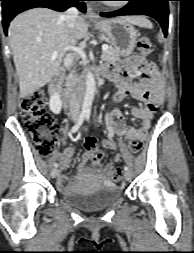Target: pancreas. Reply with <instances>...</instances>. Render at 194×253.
Returning <instances> with one entry per match:
<instances>
[{"mask_svg":"<svg viewBox=\"0 0 194 253\" xmlns=\"http://www.w3.org/2000/svg\"><path fill=\"white\" fill-rule=\"evenodd\" d=\"M102 60L107 62V63H115L117 61L120 60V54L118 53V51L112 47H108L107 50L102 52V56H101ZM79 80V78L77 77V75L75 74H71L68 77V84L72 85L74 83H76Z\"/></svg>","mask_w":194,"mask_h":253,"instance_id":"pancreas-1","label":"pancreas"}]
</instances>
